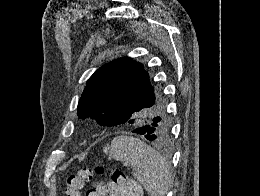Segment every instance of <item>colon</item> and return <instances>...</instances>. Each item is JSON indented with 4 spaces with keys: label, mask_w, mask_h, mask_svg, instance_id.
<instances>
[{
    "label": "colon",
    "mask_w": 260,
    "mask_h": 196,
    "mask_svg": "<svg viewBox=\"0 0 260 196\" xmlns=\"http://www.w3.org/2000/svg\"><path fill=\"white\" fill-rule=\"evenodd\" d=\"M104 171L101 167L96 169L83 167L77 173L69 174L66 180L65 195L81 196V190L87 182L95 178L102 179ZM110 184L119 190L127 189L130 181L123 172L115 171L109 175Z\"/></svg>",
    "instance_id": "obj_1"
}]
</instances>
